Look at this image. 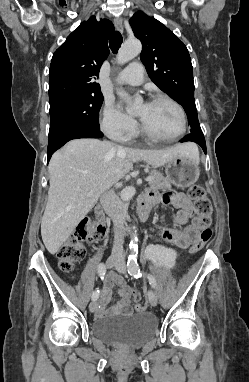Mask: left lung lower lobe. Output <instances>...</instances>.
Segmentation results:
<instances>
[{"label": "left lung lower lobe", "instance_id": "obj_1", "mask_svg": "<svg viewBox=\"0 0 249 382\" xmlns=\"http://www.w3.org/2000/svg\"><path fill=\"white\" fill-rule=\"evenodd\" d=\"M186 141H192L199 144L204 150V152L206 153V143H205L203 133H190L180 140V142H186Z\"/></svg>", "mask_w": 249, "mask_h": 382}]
</instances>
